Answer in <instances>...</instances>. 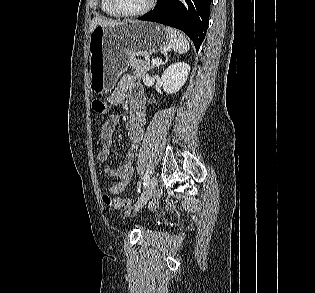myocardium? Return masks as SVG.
Masks as SVG:
<instances>
[{
    "instance_id": "obj_1",
    "label": "myocardium",
    "mask_w": 315,
    "mask_h": 293,
    "mask_svg": "<svg viewBox=\"0 0 315 293\" xmlns=\"http://www.w3.org/2000/svg\"><path fill=\"white\" fill-rule=\"evenodd\" d=\"M109 1H110V6L113 9V11L122 17H135V16L144 15L147 12H149L156 3V0H149L147 5L143 7L142 9L136 10V11H127L121 7L119 0H109Z\"/></svg>"
}]
</instances>
